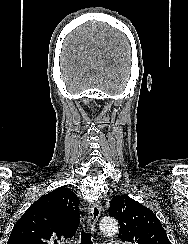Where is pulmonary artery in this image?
Returning <instances> with one entry per match:
<instances>
[{"mask_svg": "<svg viewBox=\"0 0 188 244\" xmlns=\"http://www.w3.org/2000/svg\"><path fill=\"white\" fill-rule=\"evenodd\" d=\"M108 244H120L119 242H110Z\"/></svg>", "mask_w": 188, "mask_h": 244, "instance_id": "obj_1", "label": "pulmonary artery"}]
</instances>
